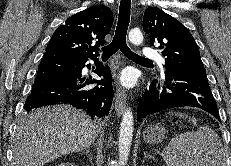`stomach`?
Masks as SVG:
<instances>
[{
  "mask_svg": "<svg viewBox=\"0 0 231 166\" xmlns=\"http://www.w3.org/2000/svg\"><path fill=\"white\" fill-rule=\"evenodd\" d=\"M166 129L160 124L148 125L143 131V139L146 143L155 144L165 138Z\"/></svg>",
  "mask_w": 231,
  "mask_h": 166,
  "instance_id": "stomach-1",
  "label": "stomach"
}]
</instances>
